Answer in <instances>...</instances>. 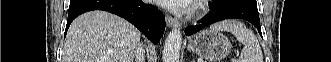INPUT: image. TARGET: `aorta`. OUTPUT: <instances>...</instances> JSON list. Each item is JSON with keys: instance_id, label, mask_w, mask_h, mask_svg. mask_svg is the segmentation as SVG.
Segmentation results:
<instances>
[{"instance_id": "762f6f07", "label": "aorta", "mask_w": 331, "mask_h": 62, "mask_svg": "<svg viewBox=\"0 0 331 62\" xmlns=\"http://www.w3.org/2000/svg\"><path fill=\"white\" fill-rule=\"evenodd\" d=\"M182 44V32L180 28H173L164 43L163 62H179Z\"/></svg>"}]
</instances>
